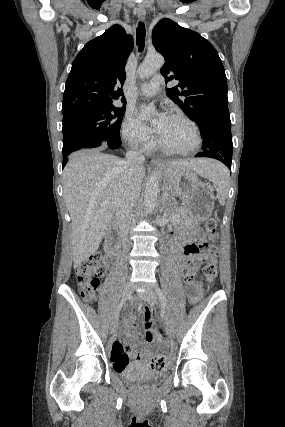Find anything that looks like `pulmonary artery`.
Listing matches in <instances>:
<instances>
[{
  "label": "pulmonary artery",
  "mask_w": 285,
  "mask_h": 427,
  "mask_svg": "<svg viewBox=\"0 0 285 427\" xmlns=\"http://www.w3.org/2000/svg\"><path fill=\"white\" fill-rule=\"evenodd\" d=\"M164 82V79L161 75H155L149 82L143 83L139 90L138 94L147 97H153L160 91V86Z\"/></svg>",
  "instance_id": "e3ab8cb5"
}]
</instances>
